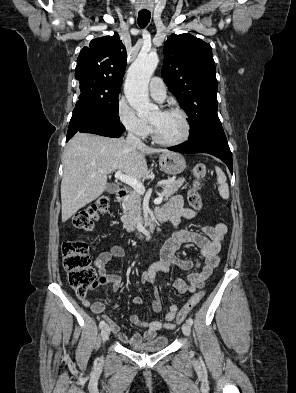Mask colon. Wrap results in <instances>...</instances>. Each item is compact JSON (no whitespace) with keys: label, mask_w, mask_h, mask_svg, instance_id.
Listing matches in <instances>:
<instances>
[{"label":"colon","mask_w":296,"mask_h":393,"mask_svg":"<svg viewBox=\"0 0 296 393\" xmlns=\"http://www.w3.org/2000/svg\"><path fill=\"white\" fill-rule=\"evenodd\" d=\"M207 166L203 163L197 164L193 169L192 186L188 192V201L192 209L200 211L202 200L199 194L205 181ZM109 207V198L101 196L90 206L78 211L72 218L75 229L90 230L98 215L105 213ZM62 254L64 268L67 271L68 282L79 297L86 295L88 290L96 284V272L91 266L89 256V245L82 239L68 240L63 243ZM204 290L197 291L191 299L179 310L176 322H183L191 313L193 308L201 301Z\"/></svg>","instance_id":"colon-1"}]
</instances>
